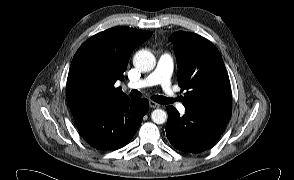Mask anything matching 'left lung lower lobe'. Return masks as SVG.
<instances>
[{
    "mask_svg": "<svg viewBox=\"0 0 294 180\" xmlns=\"http://www.w3.org/2000/svg\"><path fill=\"white\" fill-rule=\"evenodd\" d=\"M167 112V138L175 148L187 153L209 149L220 138L231 116V112L188 108L180 116L173 106H168Z\"/></svg>",
    "mask_w": 294,
    "mask_h": 180,
    "instance_id": "obj_1",
    "label": "left lung lower lobe"
}]
</instances>
